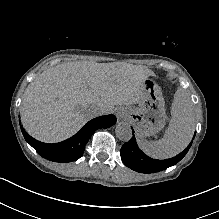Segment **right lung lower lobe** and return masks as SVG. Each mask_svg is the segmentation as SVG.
<instances>
[{"instance_id": "98d812e1", "label": "right lung lower lobe", "mask_w": 219, "mask_h": 219, "mask_svg": "<svg viewBox=\"0 0 219 219\" xmlns=\"http://www.w3.org/2000/svg\"><path fill=\"white\" fill-rule=\"evenodd\" d=\"M114 115L100 116L89 121L77 134L71 138L55 144L37 141L29 136L21 127L25 140L42 157L60 163H68L79 159L83 155L84 147L92 134L100 128H109L116 123Z\"/></svg>"}]
</instances>
